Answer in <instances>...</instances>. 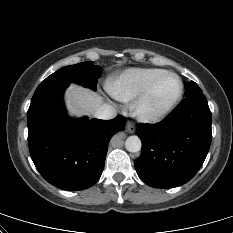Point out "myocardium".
Here are the masks:
<instances>
[{"instance_id": "obj_1", "label": "myocardium", "mask_w": 233, "mask_h": 233, "mask_svg": "<svg viewBox=\"0 0 233 233\" xmlns=\"http://www.w3.org/2000/svg\"><path fill=\"white\" fill-rule=\"evenodd\" d=\"M165 76H172L176 79L178 83V91L176 95L169 101L165 106L155 112H149L146 110V103L154 90L157 83ZM183 82L181 78L173 72L163 71L157 75L144 89L143 91L134 99L132 103L133 114L142 122L154 123L165 118L179 103L183 95Z\"/></svg>"}]
</instances>
